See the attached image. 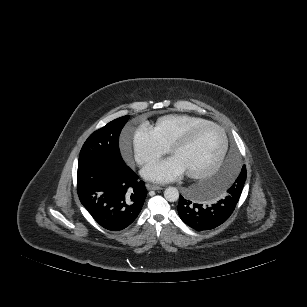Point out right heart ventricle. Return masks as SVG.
<instances>
[{"label": "right heart ventricle", "mask_w": 307, "mask_h": 307, "mask_svg": "<svg viewBox=\"0 0 307 307\" xmlns=\"http://www.w3.org/2000/svg\"><path fill=\"white\" fill-rule=\"evenodd\" d=\"M206 122H209V120L194 115L170 114L160 117L151 129L160 141L170 146L190 128Z\"/></svg>", "instance_id": "e07e8e85"}]
</instances>
